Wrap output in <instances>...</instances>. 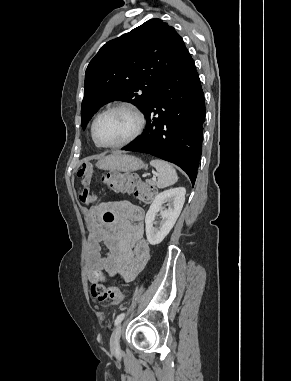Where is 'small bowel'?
<instances>
[{"mask_svg":"<svg viewBox=\"0 0 291 381\" xmlns=\"http://www.w3.org/2000/svg\"><path fill=\"white\" fill-rule=\"evenodd\" d=\"M104 205L85 208L91 228L86 258L87 276L91 283L104 281L102 272L114 276L123 273L127 281L135 279L150 258V246L144 238L145 211L130 202L112 208L116 231L110 233L102 223ZM101 244L107 248L102 254Z\"/></svg>","mask_w":291,"mask_h":381,"instance_id":"small-bowel-1","label":"small bowel"}]
</instances>
